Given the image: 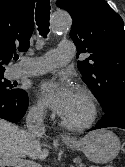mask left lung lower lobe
I'll use <instances>...</instances> for the list:
<instances>
[{"label":"left lung lower lobe","instance_id":"left-lung-lower-lobe-1","mask_svg":"<svg viewBox=\"0 0 125 167\" xmlns=\"http://www.w3.org/2000/svg\"><path fill=\"white\" fill-rule=\"evenodd\" d=\"M103 111L105 114L97 125L90 129V131L106 127L125 129V101L112 102L107 105Z\"/></svg>","mask_w":125,"mask_h":167}]
</instances>
